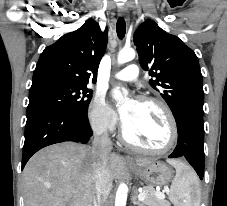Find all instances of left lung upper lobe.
I'll return each mask as SVG.
<instances>
[{"label": "left lung upper lobe", "mask_w": 227, "mask_h": 206, "mask_svg": "<svg viewBox=\"0 0 227 206\" xmlns=\"http://www.w3.org/2000/svg\"><path fill=\"white\" fill-rule=\"evenodd\" d=\"M134 44L141 67L154 77L151 86L167 102L176 121L186 111L204 113L203 79L192 49L152 20L137 28Z\"/></svg>", "instance_id": "obj_1"}]
</instances>
